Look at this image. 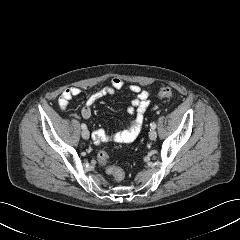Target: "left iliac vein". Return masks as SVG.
Instances as JSON below:
<instances>
[{
  "label": "left iliac vein",
  "instance_id": "left-iliac-vein-1",
  "mask_svg": "<svg viewBox=\"0 0 240 240\" xmlns=\"http://www.w3.org/2000/svg\"><path fill=\"white\" fill-rule=\"evenodd\" d=\"M156 137H157V132L155 131V130H150V132H149V138L151 139V140H155L156 139Z\"/></svg>",
  "mask_w": 240,
  "mask_h": 240
}]
</instances>
